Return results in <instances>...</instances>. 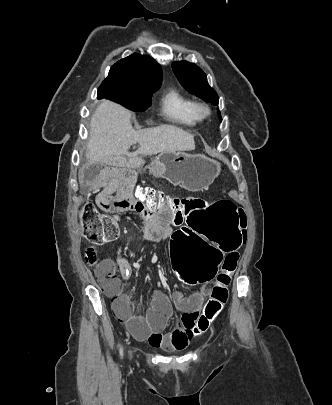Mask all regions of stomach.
I'll return each instance as SVG.
<instances>
[{"instance_id":"1","label":"stomach","mask_w":332,"mask_h":405,"mask_svg":"<svg viewBox=\"0 0 332 405\" xmlns=\"http://www.w3.org/2000/svg\"><path fill=\"white\" fill-rule=\"evenodd\" d=\"M155 171L188 191L208 188L220 174L221 164L200 154L162 152L153 161Z\"/></svg>"}]
</instances>
